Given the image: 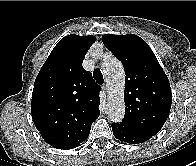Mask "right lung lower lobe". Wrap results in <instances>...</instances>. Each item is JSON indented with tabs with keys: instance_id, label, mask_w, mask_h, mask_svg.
<instances>
[{
	"instance_id": "right-lung-lower-lobe-1",
	"label": "right lung lower lobe",
	"mask_w": 196,
	"mask_h": 166,
	"mask_svg": "<svg viewBox=\"0 0 196 166\" xmlns=\"http://www.w3.org/2000/svg\"><path fill=\"white\" fill-rule=\"evenodd\" d=\"M79 146V144H56V145H53V147L55 148H58V149H72V148H75Z\"/></svg>"
}]
</instances>
